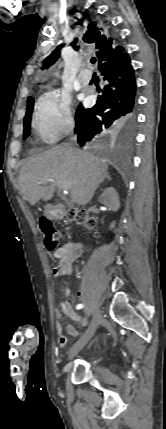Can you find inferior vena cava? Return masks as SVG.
Masks as SVG:
<instances>
[{
	"label": "inferior vena cava",
	"mask_w": 166,
	"mask_h": 429,
	"mask_svg": "<svg viewBox=\"0 0 166 429\" xmlns=\"http://www.w3.org/2000/svg\"><path fill=\"white\" fill-rule=\"evenodd\" d=\"M70 133L73 135V131L72 130L70 131ZM70 140L72 142H75L76 141V136H71Z\"/></svg>",
	"instance_id": "602c4592"
}]
</instances>
